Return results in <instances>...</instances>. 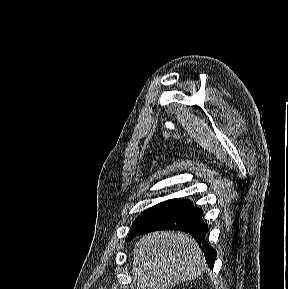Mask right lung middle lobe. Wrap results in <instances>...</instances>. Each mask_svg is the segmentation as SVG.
Segmentation results:
<instances>
[{
	"label": "right lung middle lobe",
	"mask_w": 288,
	"mask_h": 289,
	"mask_svg": "<svg viewBox=\"0 0 288 289\" xmlns=\"http://www.w3.org/2000/svg\"><path fill=\"white\" fill-rule=\"evenodd\" d=\"M181 200L179 199H171L165 202L159 203L141 213L133 223V227L131 232L127 238V242L134 237V235L147 226L150 222L164 214L165 212L169 211L173 208L176 204H178Z\"/></svg>",
	"instance_id": "obj_1"
}]
</instances>
